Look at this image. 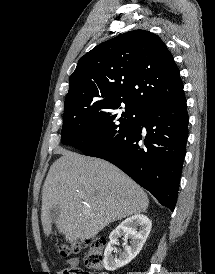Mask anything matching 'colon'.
<instances>
[{
  "label": "colon",
  "mask_w": 215,
  "mask_h": 274,
  "mask_svg": "<svg viewBox=\"0 0 215 274\" xmlns=\"http://www.w3.org/2000/svg\"><path fill=\"white\" fill-rule=\"evenodd\" d=\"M87 246L88 252L86 255L85 263L89 269L99 271L103 267V253L106 246L104 238L95 237L86 242H78L73 245L62 244L59 247V252L62 256H68L71 252H77L81 248ZM68 274H94L84 270H71Z\"/></svg>",
  "instance_id": "5ec220e1"
}]
</instances>
